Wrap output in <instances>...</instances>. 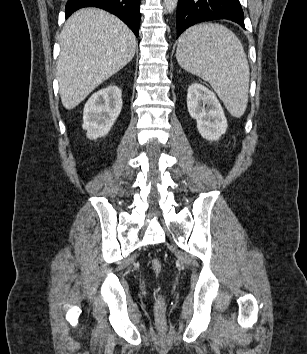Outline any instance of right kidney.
Returning a JSON list of instances; mask_svg holds the SVG:
<instances>
[{
	"instance_id": "ca27d5eb",
	"label": "right kidney",
	"mask_w": 307,
	"mask_h": 354,
	"mask_svg": "<svg viewBox=\"0 0 307 354\" xmlns=\"http://www.w3.org/2000/svg\"><path fill=\"white\" fill-rule=\"evenodd\" d=\"M122 109V90L109 86L94 93L83 110V129L91 140L105 137Z\"/></svg>"
}]
</instances>
